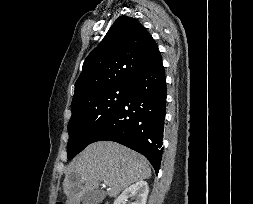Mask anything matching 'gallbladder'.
I'll return each mask as SVG.
<instances>
[{
	"label": "gallbladder",
	"instance_id": "bac80fb5",
	"mask_svg": "<svg viewBox=\"0 0 253 204\" xmlns=\"http://www.w3.org/2000/svg\"><path fill=\"white\" fill-rule=\"evenodd\" d=\"M103 199H104V192L102 190L95 189L93 191L86 193L82 198V202L83 204H96L97 202H100Z\"/></svg>",
	"mask_w": 253,
	"mask_h": 204
}]
</instances>
